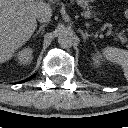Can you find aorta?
<instances>
[{"instance_id": "obj_1", "label": "aorta", "mask_w": 128, "mask_h": 128, "mask_svg": "<svg viewBox=\"0 0 128 128\" xmlns=\"http://www.w3.org/2000/svg\"><path fill=\"white\" fill-rule=\"evenodd\" d=\"M74 42V35L72 32L64 29L59 33L58 43L62 48H69Z\"/></svg>"}]
</instances>
